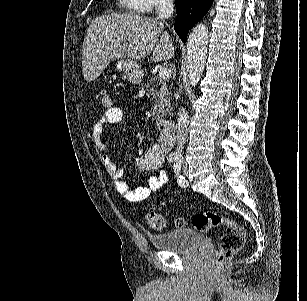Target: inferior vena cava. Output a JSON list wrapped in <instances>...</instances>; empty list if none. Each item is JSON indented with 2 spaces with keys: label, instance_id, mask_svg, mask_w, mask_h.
<instances>
[{
  "label": "inferior vena cava",
  "instance_id": "obj_1",
  "mask_svg": "<svg viewBox=\"0 0 307 301\" xmlns=\"http://www.w3.org/2000/svg\"><path fill=\"white\" fill-rule=\"evenodd\" d=\"M157 18H170L174 12L173 0H158L155 6ZM178 124L176 130V151L181 153L187 140V124L189 122V114L185 108H180L178 112Z\"/></svg>",
  "mask_w": 307,
  "mask_h": 301
}]
</instances>
